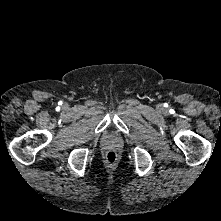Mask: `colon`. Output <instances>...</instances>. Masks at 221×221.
Wrapping results in <instances>:
<instances>
[{"instance_id":"colon-1","label":"colon","mask_w":221,"mask_h":221,"mask_svg":"<svg viewBox=\"0 0 221 221\" xmlns=\"http://www.w3.org/2000/svg\"><path fill=\"white\" fill-rule=\"evenodd\" d=\"M105 159L109 166H113L116 163L117 157L114 152L109 151L106 153Z\"/></svg>"}]
</instances>
